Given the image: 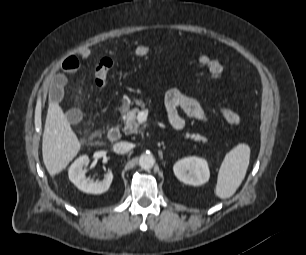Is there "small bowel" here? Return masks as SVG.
<instances>
[{
  "label": "small bowel",
  "mask_w": 306,
  "mask_h": 255,
  "mask_svg": "<svg viewBox=\"0 0 306 255\" xmlns=\"http://www.w3.org/2000/svg\"><path fill=\"white\" fill-rule=\"evenodd\" d=\"M80 56L83 59H88L91 56V52L89 49H83L80 52ZM79 66L80 63L76 56H68L62 61L60 67L49 76L50 98L53 102L62 100L64 87L67 83V75L76 72ZM196 91L203 93L205 89L202 86H197ZM164 106L168 121L176 130H181L185 126V121L179 114V109H182L193 120L199 122H207L208 120V116L199 102L176 88L170 89L165 94ZM80 118L81 112L78 109H71L67 112V119L71 123H77Z\"/></svg>",
  "instance_id": "obj_1"
}]
</instances>
